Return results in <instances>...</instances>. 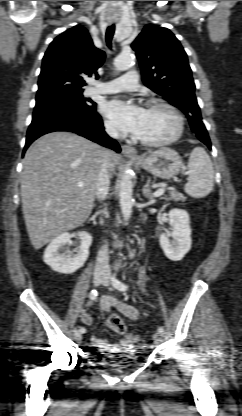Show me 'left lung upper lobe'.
<instances>
[{"mask_svg": "<svg viewBox=\"0 0 242 416\" xmlns=\"http://www.w3.org/2000/svg\"><path fill=\"white\" fill-rule=\"evenodd\" d=\"M144 84L178 107L199 140L209 138L195 96L187 54L167 28L147 25L132 43Z\"/></svg>", "mask_w": 242, "mask_h": 416, "instance_id": "obj_1", "label": "left lung upper lobe"}]
</instances>
